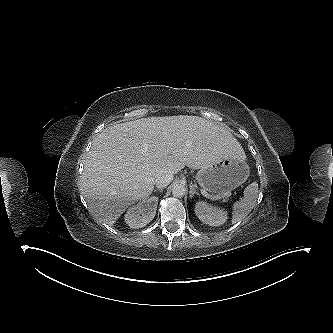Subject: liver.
<instances>
[{"label":"liver","mask_w":333,"mask_h":333,"mask_svg":"<svg viewBox=\"0 0 333 333\" xmlns=\"http://www.w3.org/2000/svg\"><path fill=\"white\" fill-rule=\"evenodd\" d=\"M229 158L245 159V153L225 127L198 116L141 118L107 127L94 139L81 193L91 213L112 226L152 193L158 175Z\"/></svg>","instance_id":"liver-1"}]
</instances>
